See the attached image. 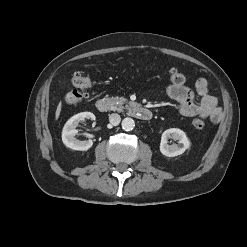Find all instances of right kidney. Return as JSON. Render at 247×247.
Here are the masks:
<instances>
[{
    "label": "right kidney",
    "instance_id": "ca27d5eb",
    "mask_svg": "<svg viewBox=\"0 0 247 247\" xmlns=\"http://www.w3.org/2000/svg\"><path fill=\"white\" fill-rule=\"evenodd\" d=\"M84 119L95 120V115L91 112H81L71 117L64 125L62 130V141L66 147L79 151H86L92 147L93 141L91 139L80 141L75 137L78 133L76 127Z\"/></svg>",
    "mask_w": 247,
    "mask_h": 247
}]
</instances>
